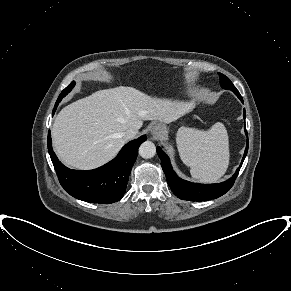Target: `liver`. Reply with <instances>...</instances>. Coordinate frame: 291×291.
<instances>
[{
	"label": "liver",
	"mask_w": 291,
	"mask_h": 291,
	"mask_svg": "<svg viewBox=\"0 0 291 291\" xmlns=\"http://www.w3.org/2000/svg\"><path fill=\"white\" fill-rule=\"evenodd\" d=\"M188 105L150 97L133 87L99 90L59 112L51 130L53 147L65 165L94 169L122 148L124 131L139 130L147 120L171 123L187 111Z\"/></svg>",
	"instance_id": "1"
}]
</instances>
